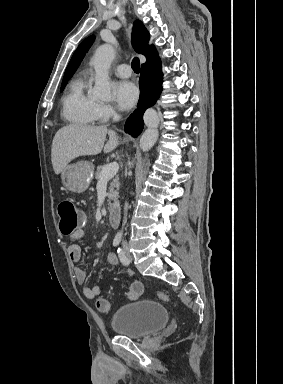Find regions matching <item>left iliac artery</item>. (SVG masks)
Returning <instances> with one entry per match:
<instances>
[{
	"instance_id": "left-iliac-artery-1",
	"label": "left iliac artery",
	"mask_w": 283,
	"mask_h": 384,
	"mask_svg": "<svg viewBox=\"0 0 283 384\" xmlns=\"http://www.w3.org/2000/svg\"><path fill=\"white\" fill-rule=\"evenodd\" d=\"M117 253H118V256H119V259H120L121 263L123 265H127V259H126V256H125V253H124L123 249L122 248H118Z\"/></svg>"
}]
</instances>
